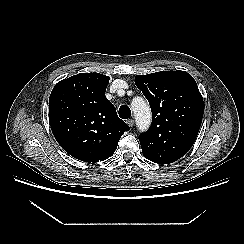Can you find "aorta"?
I'll return each mask as SVG.
<instances>
[{
  "instance_id": "1",
  "label": "aorta",
  "mask_w": 244,
  "mask_h": 244,
  "mask_svg": "<svg viewBox=\"0 0 244 244\" xmlns=\"http://www.w3.org/2000/svg\"><path fill=\"white\" fill-rule=\"evenodd\" d=\"M131 105L138 129L141 131L147 130L151 123V111L148 104L143 98L137 97Z\"/></svg>"
}]
</instances>
